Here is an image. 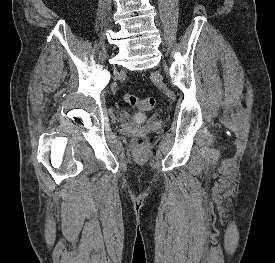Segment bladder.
I'll return each instance as SVG.
<instances>
[{"mask_svg":"<svg viewBox=\"0 0 275 263\" xmlns=\"http://www.w3.org/2000/svg\"><path fill=\"white\" fill-rule=\"evenodd\" d=\"M137 119H138V120H144V116H143V115H138V116H137Z\"/></svg>","mask_w":275,"mask_h":263,"instance_id":"1","label":"bladder"}]
</instances>
